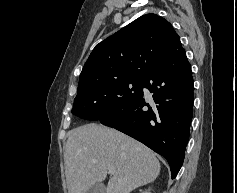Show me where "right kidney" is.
Masks as SVG:
<instances>
[{"instance_id":"1","label":"right kidney","mask_w":237,"mask_h":193,"mask_svg":"<svg viewBox=\"0 0 237 193\" xmlns=\"http://www.w3.org/2000/svg\"><path fill=\"white\" fill-rule=\"evenodd\" d=\"M142 193H151V192L148 190V191H144V192H142Z\"/></svg>"}]
</instances>
